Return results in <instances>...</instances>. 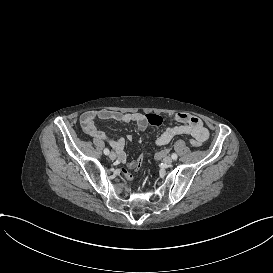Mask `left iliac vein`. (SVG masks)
<instances>
[{"label":"left iliac vein","instance_id":"left-iliac-vein-1","mask_svg":"<svg viewBox=\"0 0 273 273\" xmlns=\"http://www.w3.org/2000/svg\"><path fill=\"white\" fill-rule=\"evenodd\" d=\"M172 162H173V160H172V158L170 156H166L163 159V163L166 164V165H170Z\"/></svg>","mask_w":273,"mask_h":273}]
</instances>
